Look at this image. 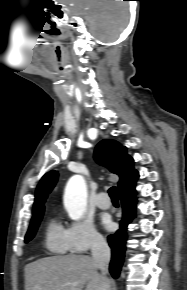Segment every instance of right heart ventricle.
Segmentation results:
<instances>
[{
	"instance_id": "right-heart-ventricle-1",
	"label": "right heart ventricle",
	"mask_w": 187,
	"mask_h": 290,
	"mask_svg": "<svg viewBox=\"0 0 187 290\" xmlns=\"http://www.w3.org/2000/svg\"><path fill=\"white\" fill-rule=\"evenodd\" d=\"M45 244L54 254H66L70 248L67 241L66 229L56 219L50 220L46 228Z\"/></svg>"
}]
</instances>
